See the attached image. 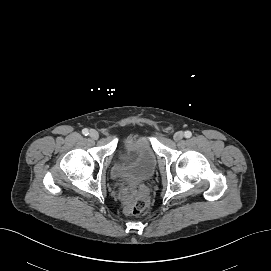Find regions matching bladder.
I'll list each match as a JSON object with an SVG mask.
<instances>
[{
    "instance_id": "bladder-1",
    "label": "bladder",
    "mask_w": 271,
    "mask_h": 271,
    "mask_svg": "<svg viewBox=\"0 0 271 271\" xmlns=\"http://www.w3.org/2000/svg\"><path fill=\"white\" fill-rule=\"evenodd\" d=\"M132 155L127 162L125 156ZM117 172L121 181L130 189L148 180L155 172L157 156L150 137L145 133H131L117 141Z\"/></svg>"
}]
</instances>
